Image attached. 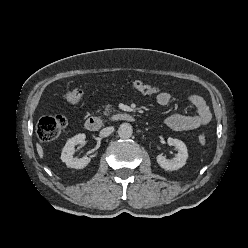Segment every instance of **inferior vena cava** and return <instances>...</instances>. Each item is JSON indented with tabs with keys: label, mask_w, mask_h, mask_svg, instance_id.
Wrapping results in <instances>:
<instances>
[{
	"label": "inferior vena cava",
	"mask_w": 248,
	"mask_h": 248,
	"mask_svg": "<svg viewBox=\"0 0 248 248\" xmlns=\"http://www.w3.org/2000/svg\"><path fill=\"white\" fill-rule=\"evenodd\" d=\"M114 131V127H106L100 131L101 137H107Z\"/></svg>",
	"instance_id": "obj_1"
}]
</instances>
